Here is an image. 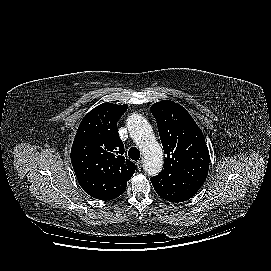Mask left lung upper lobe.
Wrapping results in <instances>:
<instances>
[{
    "instance_id": "1",
    "label": "left lung upper lobe",
    "mask_w": 271,
    "mask_h": 271,
    "mask_svg": "<svg viewBox=\"0 0 271 271\" xmlns=\"http://www.w3.org/2000/svg\"><path fill=\"white\" fill-rule=\"evenodd\" d=\"M157 120L160 139L167 155L162 171L151 182L156 184L179 174L202 186L209 169V151L201 129L191 115L178 103L161 101L151 106Z\"/></svg>"
}]
</instances>
